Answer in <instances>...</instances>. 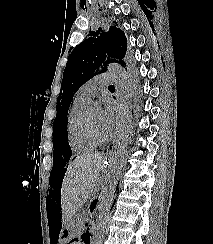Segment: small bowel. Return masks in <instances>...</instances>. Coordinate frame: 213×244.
Returning <instances> with one entry per match:
<instances>
[{
	"mask_svg": "<svg viewBox=\"0 0 213 244\" xmlns=\"http://www.w3.org/2000/svg\"><path fill=\"white\" fill-rule=\"evenodd\" d=\"M70 244H87V242L85 241L84 238H81V239H76V240L72 241Z\"/></svg>",
	"mask_w": 213,
	"mask_h": 244,
	"instance_id": "small-bowel-1",
	"label": "small bowel"
}]
</instances>
